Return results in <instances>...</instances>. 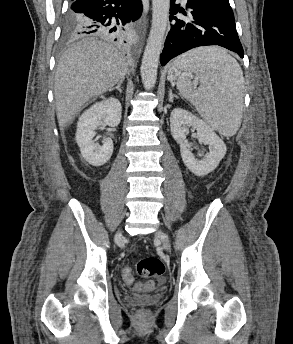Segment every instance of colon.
Wrapping results in <instances>:
<instances>
[{
  "label": "colon",
  "mask_w": 293,
  "mask_h": 344,
  "mask_svg": "<svg viewBox=\"0 0 293 344\" xmlns=\"http://www.w3.org/2000/svg\"><path fill=\"white\" fill-rule=\"evenodd\" d=\"M137 273L142 278H157L161 277L165 272V264L158 257H147L140 260L136 266ZM122 276L125 281H133L132 269L130 267H125L122 270ZM152 287V283L146 285L145 289ZM144 311L140 310L139 315L144 316Z\"/></svg>",
  "instance_id": "1"
}]
</instances>
